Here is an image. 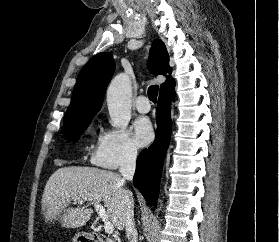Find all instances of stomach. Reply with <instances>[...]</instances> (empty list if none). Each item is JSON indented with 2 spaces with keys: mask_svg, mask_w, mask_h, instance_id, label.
Wrapping results in <instances>:
<instances>
[{
  "mask_svg": "<svg viewBox=\"0 0 279 242\" xmlns=\"http://www.w3.org/2000/svg\"><path fill=\"white\" fill-rule=\"evenodd\" d=\"M87 239H89L88 234L86 233H77L74 237H73V242H84Z\"/></svg>",
  "mask_w": 279,
  "mask_h": 242,
  "instance_id": "obj_1",
  "label": "stomach"
}]
</instances>
